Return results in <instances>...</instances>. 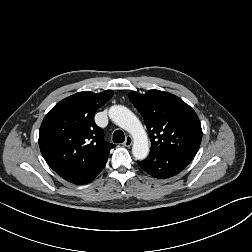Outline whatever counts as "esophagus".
Instances as JSON below:
<instances>
[{
    "label": "esophagus",
    "instance_id": "1",
    "mask_svg": "<svg viewBox=\"0 0 252 252\" xmlns=\"http://www.w3.org/2000/svg\"><path fill=\"white\" fill-rule=\"evenodd\" d=\"M132 143H133V139H132L131 136L128 135V136L126 137V139H125L123 145L126 146V147H130V146L132 145Z\"/></svg>",
    "mask_w": 252,
    "mask_h": 252
}]
</instances>
